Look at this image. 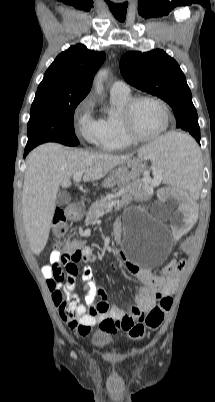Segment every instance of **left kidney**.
<instances>
[{
    "instance_id": "obj_1",
    "label": "left kidney",
    "mask_w": 215,
    "mask_h": 402,
    "mask_svg": "<svg viewBox=\"0 0 215 402\" xmlns=\"http://www.w3.org/2000/svg\"><path fill=\"white\" fill-rule=\"evenodd\" d=\"M160 190L162 203L168 205V215L174 219L168 221L167 226L172 229L174 238L181 240L188 235L191 226L198 219L197 202L190 203L191 199L186 193L175 191L168 184L161 185Z\"/></svg>"
}]
</instances>
